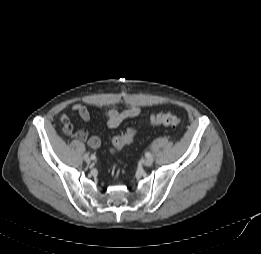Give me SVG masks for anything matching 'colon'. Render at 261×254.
<instances>
[{
    "label": "colon",
    "instance_id": "colon-1",
    "mask_svg": "<svg viewBox=\"0 0 261 254\" xmlns=\"http://www.w3.org/2000/svg\"><path fill=\"white\" fill-rule=\"evenodd\" d=\"M151 126L177 127L180 124V118L173 113H158L151 115L146 120ZM138 132L137 128H129L122 134L116 136L112 141V151L119 152L125 146L131 144Z\"/></svg>",
    "mask_w": 261,
    "mask_h": 254
}]
</instances>
